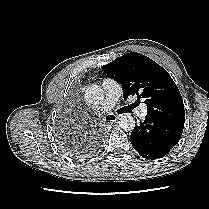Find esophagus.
I'll return each mask as SVG.
<instances>
[{
    "label": "esophagus",
    "instance_id": "obj_1",
    "mask_svg": "<svg viewBox=\"0 0 209 209\" xmlns=\"http://www.w3.org/2000/svg\"><path fill=\"white\" fill-rule=\"evenodd\" d=\"M108 117L110 118V119H107V122L108 123H114V122H116L117 120H118V116L117 115H115V114H109L108 115Z\"/></svg>",
    "mask_w": 209,
    "mask_h": 209
}]
</instances>
